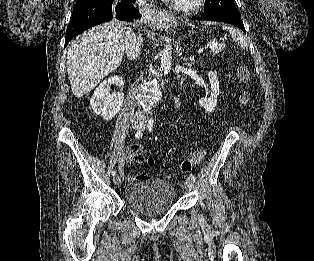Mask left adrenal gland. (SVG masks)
<instances>
[{"label":"left adrenal gland","instance_id":"a2214340","mask_svg":"<svg viewBox=\"0 0 314 261\" xmlns=\"http://www.w3.org/2000/svg\"><path fill=\"white\" fill-rule=\"evenodd\" d=\"M180 56H181V59H182L184 62L187 61V58L182 56V52H180Z\"/></svg>","mask_w":314,"mask_h":261}]
</instances>
